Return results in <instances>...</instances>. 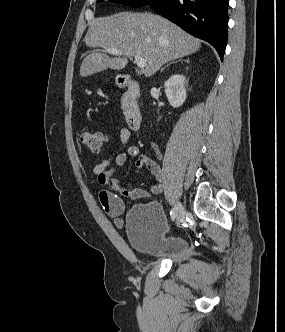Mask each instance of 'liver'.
Instances as JSON below:
<instances>
[{
    "label": "liver",
    "mask_w": 285,
    "mask_h": 332,
    "mask_svg": "<svg viewBox=\"0 0 285 332\" xmlns=\"http://www.w3.org/2000/svg\"><path fill=\"white\" fill-rule=\"evenodd\" d=\"M87 47L108 51L118 49L122 55L105 53L87 55L80 76L87 77L108 68L121 70L128 58L139 55L146 60L144 75L150 77L165 63L195 53L201 41L169 20L152 13L120 12L91 22L84 38Z\"/></svg>",
    "instance_id": "6515ba94"
}]
</instances>
